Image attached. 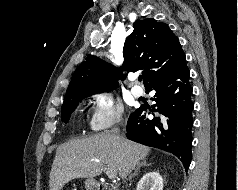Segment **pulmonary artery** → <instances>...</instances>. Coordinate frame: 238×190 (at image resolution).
Masks as SVG:
<instances>
[{"label":"pulmonary artery","instance_id":"obj_1","mask_svg":"<svg viewBox=\"0 0 238 190\" xmlns=\"http://www.w3.org/2000/svg\"><path fill=\"white\" fill-rule=\"evenodd\" d=\"M131 93L134 97H141L143 95V89L139 86H133L131 88Z\"/></svg>","mask_w":238,"mask_h":190}]
</instances>
